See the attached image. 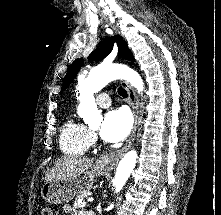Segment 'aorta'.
<instances>
[{"label": "aorta", "instance_id": "762f6f07", "mask_svg": "<svg viewBox=\"0 0 221 215\" xmlns=\"http://www.w3.org/2000/svg\"><path fill=\"white\" fill-rule=\"evenodd\" d=\"M116 79L127 80L139 93L144 89L142 78L133 69L121 64L98 65L90 71L85 79L78 83L80 103L77 108V113L86 124L92 125L94 121L100 118L94 93L100 91L109 82ZM137 157V152L131 150L126 153L119 162L113 179L116 192H120L127 182L135 167Z\"/></svg>", "mask_w": 221, "mask_h": 215}]
</instances>
